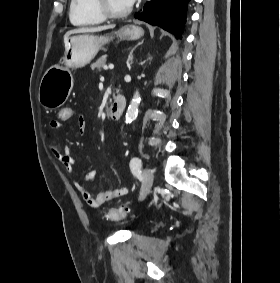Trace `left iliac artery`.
Instances as JSON below:
<instances>
[{
    "mask_svg": "<svg viewBox=\"0 0 280 283\" xmlns=\"http://www.w3.org/2000/svg\"><path fill=\"white\" fill-rule=\"evenodd\" d=\"M141 160L138 157H134L130 161V168L133 174L139 175L141 173Z\"/></svg>",
    "mask_w": 280,
    "mask_h": 283,
    "instance_id": "obj_1",
    "label": "left iliac artery"
}]
</instances>
